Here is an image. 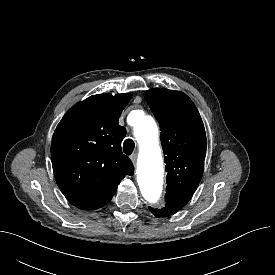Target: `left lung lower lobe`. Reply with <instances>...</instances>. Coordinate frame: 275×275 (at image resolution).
<instances>
[{
    "label": "left lung lower lobe",
    "mask_w": 275,
    "mask_h": 275,
    "mask_svg": "<svg viewBox=\"0 0 275 275\" xmlns=\"http://www.w3.org/2000/svg\"><path fill=\"white\" fill-rule=\"evenodd\" d=\"M190 198L189 196H165V207L159 210L150 208V211L157 217L170 216L184 207Z\"/></svg>",
    "instance_id": "left-lung-lower-lobe-1"
}]
</instances>
